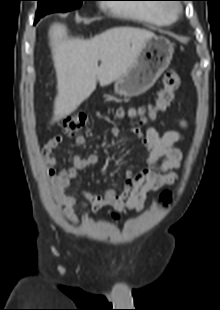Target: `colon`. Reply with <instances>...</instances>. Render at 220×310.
I'll return each mask as SVG.
<instances>
[{
  "mask_svg": "<svg viewBox=\"0 0 220 310\" xmlns=\"http://www.w3.org/2000/svg\"><path fill=\"white\" fill-rule=\"evenodd\" d=\"M181 79L174 70L165 72L162 80V87L157 93L155 100L145 106L130 108L128 113L136 119L137 125L142 126L154 119L159 113L165 111L174 101L180 88ZM86 115L82 112H73L65 115L61 120V127L68 135L76 134L86 124ZM171 201V193L164 191L159 196L158 202L167 206Z\"/></svg>",
  "mask_w": 220,
  "mask_h": 310,
  "instance_id": "colon-1",
  "label": "colon"
}]
</instances>
